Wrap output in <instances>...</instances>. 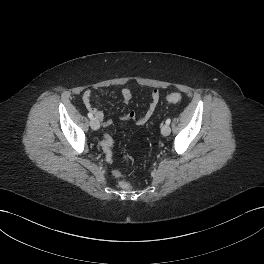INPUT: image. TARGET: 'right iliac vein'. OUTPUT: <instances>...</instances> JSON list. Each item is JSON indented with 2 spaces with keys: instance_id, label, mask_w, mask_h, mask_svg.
Segmentation results:
<instances>
[{
  "instance_id": "63e3f726",
  "label": "right iliac vein",
  "mask_w": 264,
  "mask_h": 264,
  "mask_svg": "<svg viewBox=\"0 0 264 264\" xmlns=\"http://www.w3.org/2000/svg\"><path fill=\"white\" fill-rule=\"evenodd\" d=\"M90 126L93 130H97L100 127V123L96 118H92L90 121Z\"/></svg>"
}]
</instances>
